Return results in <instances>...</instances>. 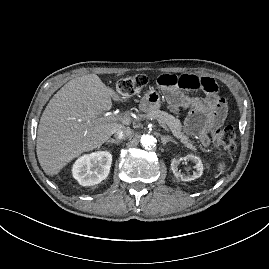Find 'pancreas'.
Listing matches in <instances>:
<instances>
[{"mask_svg": "<svg viewBox=\"0 0 269 269\" xmlns=\"http://www.w3.org/2000/svg\"><path fill=\"white\" fill-rule=\"evenodd\" d=\"M147 117L156 119L159 123H162L185 147L193 151L196 150L194 142L182 132V124L179 119L159 109L149 112Z\"/></svg>", "mask_w": 269, "mask_h": 269, "instance_id": "pancreas-1", "label": "pancreas"}]
</instances>
